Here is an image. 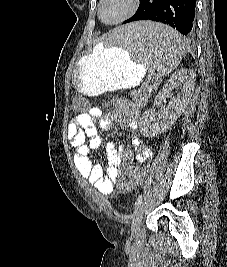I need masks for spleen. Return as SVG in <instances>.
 <instances>
[{
    "mask_svg": "<svg viewBox=\"0 0 227 267\" xmlns=\"http://www.w3.org/2000/svg\"><path fill=\"white\" fill-rule=\"evenodd\" d=\"M117 33L101 36L97 47H120V55H131L151 68L150 76L144 81H163V77H173L171 72L185 53V42L181 36L165 22L157 19H134L116 25Z\"/></svg>",
    "mask_w": 227,
    "mask_h": 267,
    "instance_id": "3e777b00",
    "label": "spleen"
}]
</instances>
